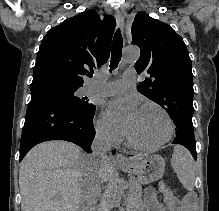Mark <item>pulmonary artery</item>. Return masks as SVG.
I'll return each instance as SVG.
<instances>
[{"label": "pulmonary artery", "mask_w": 219, "mask_h": 211, "mask_svg": "<svg viewBox=\"0 0 219 211\" xmlns=\"http://www.w3.org/2000/svg\"><path fill=\"white\" fill-rule=\"evenodd\" d=\"M135 69H126L121 79L111 82H101L97 77L82 89L83 95L111 96L125 91L135 81Z\"/></svg>", "instance_id": "1"}]
</instances>
